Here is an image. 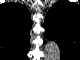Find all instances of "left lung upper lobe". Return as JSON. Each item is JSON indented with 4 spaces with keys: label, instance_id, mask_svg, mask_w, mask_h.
<instances>
[{
    "label": "left lung upper lobe",
    "instance_id": "5c2ea615",
    "mask_svg": "<svg viewBox=\"0 0 80 60\" xmlns=\"http://www.w3.org/2000/svg\"><path fill=\"white\" fill-rule=\"evenodd\" d=\"M76 14H80V10L75 4L59 1L52 6L46 16L45 36L58 43L61 56H65L66 52L70 54V50L74 48H80V33H77L75 27L78 20Z\"/></svg>",
    "mask_w": 80,
    "mask_h": 60
}]
</instances>
